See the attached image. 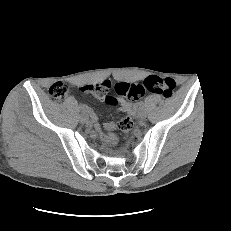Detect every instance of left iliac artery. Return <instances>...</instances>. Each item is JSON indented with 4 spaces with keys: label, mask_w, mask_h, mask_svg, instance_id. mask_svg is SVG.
I'll return each instance as SVG.
<instances>
[{
    "label": "left iliac artery",
    "mask_w": 231,
    "mask_h": 231,
    "mask_svg": "<svg viewBox=\"0 0 231 231\" xmlns=\"http://www.w3.org/2000/svg\"><path fill=\"white\" fill-rule=\"evenodd\" d=\"M138 109L139 110H144L145 109V102L144 101H139L138 102Z\"/></svg>",
    "instance_id": "obj_1"
}]
</instances>
